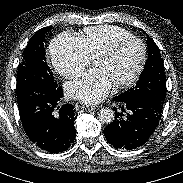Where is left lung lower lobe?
<instances>
[{
	"instance_id": "1",
	"label": "left lung lower lobe",
	"mask_w": 183,
	"mask_h": 183,
	"mask_svg": "<svg viewBox=\"0 0 183 183\" xmlns=\"http://www.w3.org/2000/svg\"><path fill=\"white\" fill-rule=\"evenodd\" d=\"M119 104L114 107L115 120L104 129L107 141L115 148L132 150L142 146L157 128L162 109L148 102L125 97L113 98Z\"/></svg>"
}]
</instances>
